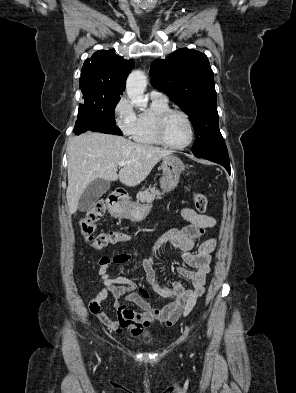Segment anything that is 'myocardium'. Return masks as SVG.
I'll return each mask as SVG.
<instances>
[{"label":"myocardium","mask_w":296,"mask_h":393,"mask_svg":"<svg viewBox=\"0 0 296 393\" xmlns=\"http://www.w3.org/2000/svg\"><path fill=\"white\" fill-rule=\"evenodd\" d=\"M173 115L182 116L188 124L190 136H189L188 141L183 145H173V144L169 143L166 139V136H165L166 124H167L169 118ZM156 134H157V138H158L160 144L169 148V149H172V150H183V149L188 148L193 143L194 138H195L194 125H193V122H192L190 116L186 112L179 110V109H169L159 116V118L157 120V125H156Z\"/></svg>","instance_id":"obj_1"}]
</instances>
